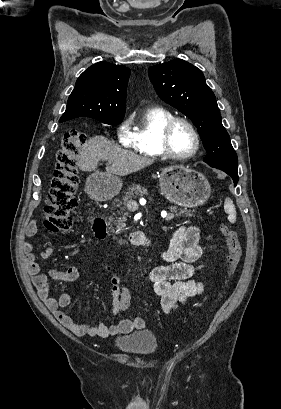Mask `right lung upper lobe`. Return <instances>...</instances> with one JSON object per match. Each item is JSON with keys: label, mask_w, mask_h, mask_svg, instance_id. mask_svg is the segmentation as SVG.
<instances>
[{"label": "right lung upper lobe", "mask_w": 281, "mask_h": 409, "mask_svg": "<svg viewBox=\"0 0 281 409\" xmlns=\"http://www.w3.org/2000/svg\"><path fill=\"white\" fill-rule=\"evenodd\" d=\"M129 75L122 65L98 62L90 66L77 79L59 122L76 117L123 119Z\"/></svg>", "instance_id": "1"}]
</instances>
